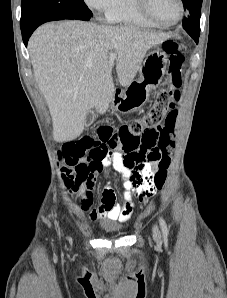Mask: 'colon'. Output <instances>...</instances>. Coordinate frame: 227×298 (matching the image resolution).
<instances>
[{
    "label": "colon",
    "mask_w": 227,
    "mask_h": 298,
    "mask_svg": "<svg viewBox=\"0 0 227 298\" xmlns=\"http://www.w3.org/2000/svg\"><path fill=\"white\" fill-rule=\"evenodd\" d=\"M163 49L169 56V79L150 103L151 108L142 116L132 118L120 125L96 126L94 129L96 138L92 139L93 142H108L109 150L141 151L149 159L158 161L159 171L150 173V178H154L151 186L154 193L165 183L166 168L170 164V154L175 147L173 130L177 113L173 110V99L179 98L184 63V47L181 43L169 40L164 43ZM157 125L161 126L160 130L156 129Z\"/></svg>",
    "instance_id": "obj_1"
}]
</instances>
